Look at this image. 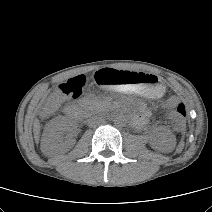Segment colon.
<instances>
[{
    "mask_svg": "<svg viewBox=\"0 0 212 212\" xmlns=\"http://www.w3.org/2000/svg\"><path fill=\"white\" fill-rule=\"evenodd\" d=\"M89 83L90 78L88 76L78 75L58 84L54 90V93L51 95L50 99L45 105L44 112L46 114L52 113L66 98L79 97ZM164 105L169 109L170 117L175 122V124L177 126H181L187 116L186 105L176 96H171L166 99L164 101Z\"/></svg>",
    "mask_w": 212,
    "mask_h": 212,
    "instance_id": "1",
    "label": "colon"
}]
</instances>
